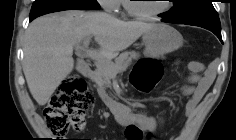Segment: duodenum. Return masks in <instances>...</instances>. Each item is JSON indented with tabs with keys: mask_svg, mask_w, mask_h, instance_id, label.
I'll use <instances>...</instances> for the list:
<instances>
[{
	"mask_svg": "<svg viewBox=\"0 0 236 140\" xmlns=\"http://www.w3.org/2000/svg\"><path fill=\"white\" fill-rule=\"evenodd\" d=\"M78 69L86 74V75H90L91 74V70L90 67L86 61V58L84 56H82L79 61H78ZM104 103L111 108L113 114L115 115L116 119L118 121H126L131 117V112L128 110L127 107H125L124 105L115 102L111 99H109L108 97H103Z\"/></svg>",
	"mask_w": 236,
	"mask_h": 140,
	"instance_id": "1",
	"label": "duodenum"
}]
</instances>
